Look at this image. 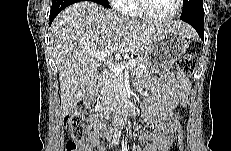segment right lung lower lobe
Returning a JSON list of instances; mask_svg holds the SVG:
<instances>
[{
    "label": "right lung lower lobe",
    "instance_id": "98d812e1",
    "mask_svg": "<svg viewBox=\"0 0 231 151\" xmlns=\"http://www.w3.org/2000/svg\"><path fill=\"white\" fill-rule=\"evenodd\" d=\"M78 2V0H53L52 2V7H51V11H50V24L52 23V21L54 20V18L56 17V15L63 10L65 7ZM93 2H96L100 5H103L107 8H109L110 6L108 5V3L104 2L103 0H93Z\"/></svg>",
    "mask_w": 231,
    "mask_h": 151
}]
</instances>
